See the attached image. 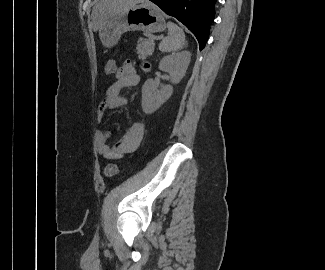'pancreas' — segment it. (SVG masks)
<instances>
[{"instance_id": "pancreas-1", "label": "pancreas", "mask_w": 325, "mask_h": 270, "mask_svg": "<svg viewBox=\"0 0 325 270\" xmlns=\"http://www.w3.org/2000/svg\"><path fill=\"white\" fill-rule=\"evenodd\" d=\"M136 50L138 57L140 59H145L154 51V44L150 39H139Z\"/></svg>"}]
</instances>
